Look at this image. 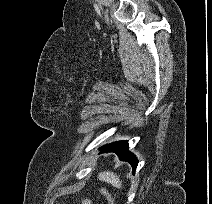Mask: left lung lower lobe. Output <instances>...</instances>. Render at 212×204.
<instances>
[{
  "mask_svg": "<svg viewBox=\"0 0 212 204\" xmlns=\"http://www.w3.org/2000/svg\"><path fill=\"white\" fill-rule=\"evenodd\" d=\"M101 152H115L121 161H127L132 165L133 173L136 170L138 161L136 157L128 151V143L126 141H118L100 149Z\"/></svg>",
  "mask_w": 212,
  "mask_h": 204,
  "instance_id": "obj_1",
  "label": "left lung lower lobe"
}]
</instances>
